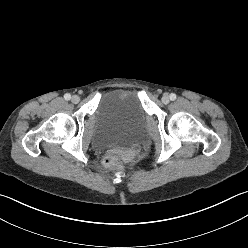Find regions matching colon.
Here are the masks:
<instances>
[{"label": "colon", "mask_w": 248, "mask_h": 248, "mask_svg": "<svg viewBox=\"0 0 248 248\" xmlns=\"http://www.w3.org/2000/svg\"><path fill=\"white\" fill-rule=\"evenodd\" d=\"M104 165L114 171H120L123 168L122 159L117 153H108L104 157Z\"/></svg>", "instance_id": "colon-1"}]
</instances>
